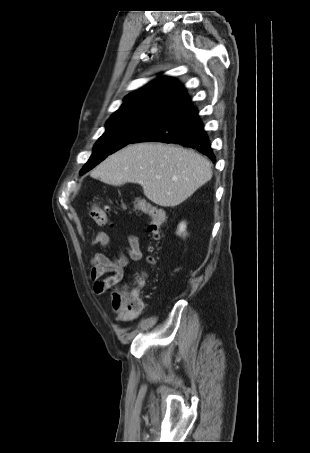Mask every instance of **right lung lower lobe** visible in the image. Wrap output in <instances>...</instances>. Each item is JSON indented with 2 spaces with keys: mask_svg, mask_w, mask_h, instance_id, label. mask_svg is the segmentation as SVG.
I'll return each mask as SVG.
<instances>
[{
  "mask_svg": "<svg viewBox=\"0 0 310 453\" xmlns=\"http://www.w3.org/2000/svg\"><path fill=\"white\" fill-rule=\"evenodd\" d=\"M145 141L180 144L196 149L215 162L208 135L189 96L167 109L131 143Z\"/></svg>",
  "mask_w": 310,
  "mask_h": 453,
  "instance_id": "98d812e1",
  "label": "right lung lower lobe"
}]
</instances>
